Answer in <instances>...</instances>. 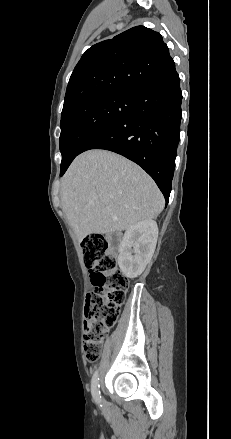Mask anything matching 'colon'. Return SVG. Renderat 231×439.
Wrapping results in <instances>:
<instances>
[{"instance_id":"5ec220e1","label":"colon","mask_w":231,"mask_h":439,"mask_svg":"<svg viewBox=\"0 0 231 439\" xmlns=\"http://www.w3.org/2000/svg\"><path fill=\"white\" fill-rule=\"evenodd\" d=\"M84 264L91 272L94 289L86 295L84 352L88 361H97L103 338L115 324L128 289L109 241L102 235H88L82 243Z\"/></svg>"}]
</instances>
